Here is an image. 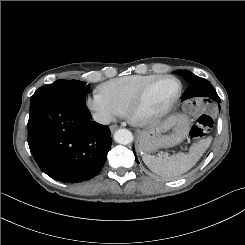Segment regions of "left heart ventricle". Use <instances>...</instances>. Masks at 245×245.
I'll return each mask as SVG.
<instances>
[{"instance_id":"obj_1","label":"left heart ventricle","mask_w":245,"mask_h":245,"mask_svg":"<svg viewBox=\"0 0 245 245\" xmlns=\"http://www.w3.org/2000/svg\"><path fill=\"white\" fill-rule=\"evenodd\" d=\"M178 91V83L167 79L154 86L148 93L142 108V114L155 113L166 107Z\"/></svg>"}]
</instances>
